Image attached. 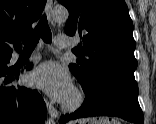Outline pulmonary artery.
<instances>
[{
    "label": "pulmonary artery",
    "mask_w": 156,
    "mask_h": 124,
    "mask_svg": "<svg viewBox=\"0 0 156 124\" xmlns=\"http://www.w3.org/2000/svg\"><path fill=\"white\" fill-rule=\"evenodd\" d=\"M55 44L58 48H66L71 45V41L67 36L57 35Z\"/></svg>",
    "instance_id": "e3ab8cb5"
}]
</instances>
